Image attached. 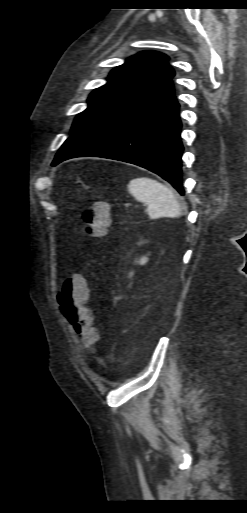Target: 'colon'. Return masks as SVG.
Here are the masks:
<instances>
[{"label":"colon","mask_w":247,"mask_h":513,"mask_svg":"<svg viewBox=\"0 0 247 513\" xmlns=\"http://www.w3.org/2000/svg\"><path fill=\"white\" fill-rule=\"evenodd\" d=\"M83 228L93 238L103 237L111 222V206L106 202H97L82 214ZM89 296V284L85 274L69 276L63 283L58 301L64 317L74 331L86 344L97 340L98 331L94 327V317L86 302Z\"/></svg>","instance_id":"obj_1"}]
</instances>
